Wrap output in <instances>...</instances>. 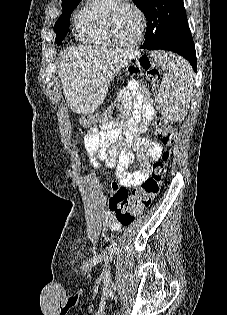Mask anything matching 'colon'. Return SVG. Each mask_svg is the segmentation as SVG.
Wrapping results in <instances>:
<instances>
[{"mask_svg": "<svg viewBox=\"0 0 227 315\" xmlns=\"http://www.w3.org/2000/svg\"><path fill=\"white\" fill-rule=\"evenodd\" d=\"M131 74L145 73L150 83L155 87L158 85L161 73L159 68L148 58L139 57L133 60L129 67ZM119 107L113 105L102 115L83 116L79 125L82 132H86L99 124H109L118 119ZM144 117L148 120L154 119L155 133L162 138L167 147L175 144L177 132L170 122L162 118H154L153 113L146 111ZM171 158L170 150H166L160 161L152 167V172L139 186L130 193L128 190L113 181L110 185V199L108 204L109 212L122 225L130 224L135 217L148 208L154 198L158 195L165 177L167 167Z\"/></svg>", "mask_w": 227, "mask_h": 315, "instance_id": "1", "label": "colon"}]
</instances>
